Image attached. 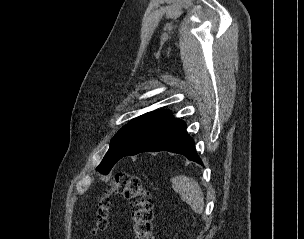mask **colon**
Masks as SVG:
<instances>
[{"label": "colon", "instance_id": "obj_1", "mask_svg": "<svg viewBox=\"0 0 304 239\" xmlns=\"http://www.w3.org/2000/svg\"><path fill=\"white\" fill-rule=\"evenodd\" d=\"M120 194L125 197L131 208L132 229L135 239H153L152 219L153 202L150 192L143 186L138 176L129 173L117 174L109 188L97 203L95 232L106 230L109 225L110 197Z\"/></svg>", "mask_w": 304, "mask_h": 239}]
</instances>
